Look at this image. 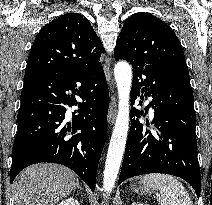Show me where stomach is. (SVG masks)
Here are the masks:
<instances>
[{
  "mask_svg": "<svg viewBox=\"0 0 212 205\" xmlns=\"http://www.w3.org/2000/svg\"><path fill=\"white\" fill-rule=\"evenodd\" d=\"M131 188L134 192L142 194V195L154 193L153 188H145L140 181H136L133 184H131Z\"/></svg>",
  "mask_w": 212,
  "mask_h": 205,
  "instance_id": "0dacf381",
  "label": "stomach"
}]
</instances>
